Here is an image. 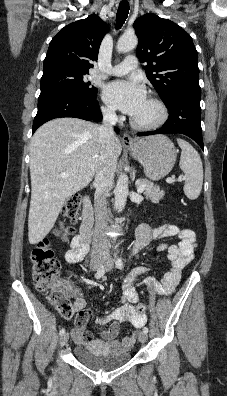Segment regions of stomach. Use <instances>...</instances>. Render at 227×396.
I'll use <instances>...</instances> for the list:
<instances>
[{
    "instance_id": "0dacf381",
    "label": "stomach",
    "mask_w": 227,
    "mask_h": 396,
    "mask_svg": "<svg viewBox=\"0 0 227 396\" xmlns=\"http://www.w3.org/2000/svg\"><path fill=\"white\" fill-rule=\"evenodd\" d=\"M128 150L141 163L146 176L153 181L169 174L176 162V149L164 135L139 139L132 146H128Z\"/></svg>"
}]
</instances>
